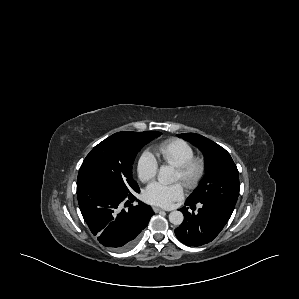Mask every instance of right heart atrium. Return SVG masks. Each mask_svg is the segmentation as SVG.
I'll return each mask as SVG.
<instances>
[{"label":"right heart atrium","mask_w":299,"mask_h":299,"mask_svg":"<svg viewBox=\"0 0 299 299\" xmlns=\"http://www.w3.org/2000/svg\"><path fill=\"white\" fill-rule=\"evenodd\" d=\"M136 170L142 182H148L156 176L158 162L151 152L144 151L140 154L137 160Z\"/></svg>","instance_id":"right-heart-atrium-1"}]
</instances>
